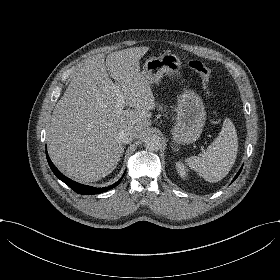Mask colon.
<instances>
[{"instance_id":"obj_1","label":"colon","mask_w":280,"mask_h":280,"mask_svg":"<svg viewBox=\"0 0 280 280\" xmlns=\"http://www.w3.org/2000/svg\"><path fill=\"white\" fill-rule=\"evenodd\" d=\"M186 65L194 73L200 75L205 87L209 88V85L211 83V72L209 68L202 61L194 58L187 60Z\"/></svg>"}]
</instances>
